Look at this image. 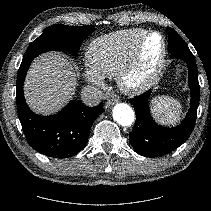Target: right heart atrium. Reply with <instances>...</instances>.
<instances>
[{
  "instance_id": "obj_1",
  "label": "right heart atrium",
  "mask_w": 211,
  "mask_h": 211,
  "mask_svg": "<svg viewBox=\"0 0 211 211\" xmlns=\"http://www.w3.org/2000/svg\"><path fill=\"white\" fill-rule=\"evenodd\" d=\"M83 75L85 79L94 86L101 87L104 85L103 77L88 64L83 68Z\"/></svg>"
}]
</instances>
